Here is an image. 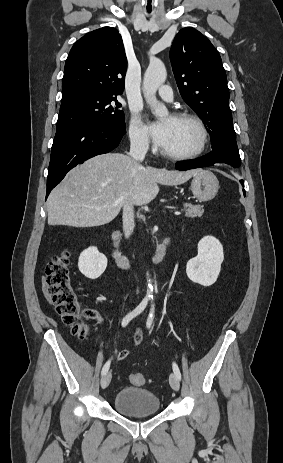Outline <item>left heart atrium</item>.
Listing matches in <instances>:
<instances>
[{"mask_svg": "<svg viewBox=\"0 0 283 463\" xmlns=\"http://www.w3.org/2000/svg\"><path fill=\"white\" fill-rule=\"evenodd\" d=\"M168 128V124L165 121L152 122L149 124L148 132L157 146L162 147L166 142Z\"/></svg>", "mask_w": 283, "mask_h": 463, "instance_id": "obj_1", "label": "left heart atrium"}]
</instances>
